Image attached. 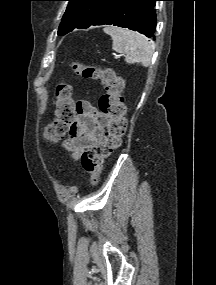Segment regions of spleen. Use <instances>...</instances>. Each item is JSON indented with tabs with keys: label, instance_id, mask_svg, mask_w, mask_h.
I'll return each mask as SVG.
<instances>
[{
	"label": "spleen",
	"instance_id": "spleen-1",
	"mask_svg": "<svg viewBox=\"0 0 216 285\" xmlns=\"http://www.w3.org/2000/svg\"><path fill=\"white\" fill-rule=\"evenodd\" d=\"M104 32L111 36L113 50L125 54L126 63H138L144 67L151 64L152 46L144 35L120 27H105Z\"/></svg>",
	"mask_w": 216,
	"mask_h": 285
}]
</instances>
